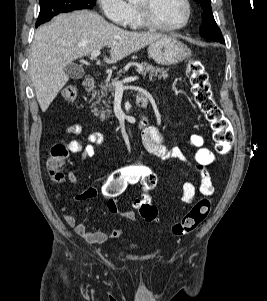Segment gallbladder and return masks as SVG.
Wrapping results in <instances>:
<instances>
[{
	"label": "gallbladder",
	"mask_w": 267,
	"mask_h": 301,
	"mask_svg": "<svg viewBox=\"0 0 267 301\" xmlns=\"http://www.w3.org/2000/svg\"><path fill=\"white\" fill-rule=\"evenodd\" d=\"M65 72L71 79H81L85 75L84 69L77 64H69L68 66L65 67Z\"/></svg>",
	"instance_id": "bac80fb5"
}]
</instances>
